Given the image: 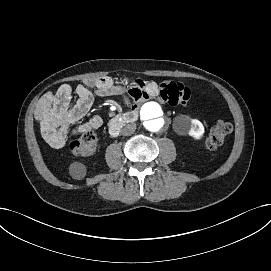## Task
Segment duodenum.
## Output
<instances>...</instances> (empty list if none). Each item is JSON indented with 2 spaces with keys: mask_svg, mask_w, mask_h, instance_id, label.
<instances>
[{
  "mask_svg": "<svg viewBox=\"0 0 271 271\" xmlns=\"http://www.w3.org/2000/svg\"><path fill=\"white\" fill-rule=\"evenodd\" d=\"M138 119V112L136 110L128 111L117 118H115L110 126L109 131L112 136H117L121 130V127L127 123H133Z\"/></svg>",
  "mask_w": 271,
  "mask_h": 271,
  "instance_id": "duodenum-1",
  "label": "duodenum"
}]
</instances>
